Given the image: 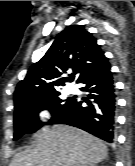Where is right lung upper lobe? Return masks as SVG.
<instances>
[{"mask_svg": "<svg viewBox=\"0 0 135 166\" xmlns=\"http://www.w3.org/2000/svg\"><path fill=\"white\" fill-rule=\"evenodd\" d=\"M106 59L91 33L80 25L68 26L57 35L46 54L29 68L24 80L17 85L15 110L59 93L57 87L67 82V78L62 77L67 71L72 70L78 82Z\"/></svg>", "mask_w": 135, "mask_h": 166, "instance_id": "cb5924a9", "label": "right lung upper lobe"}]
</instances>
